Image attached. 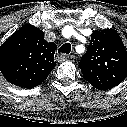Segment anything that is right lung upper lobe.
<instances>
[{
    "label": "right lung upper lobe",
    "mask_w": 127,
    "mask_h": 127,
    "mask_svg": "<svg viewBox=\"0 0 127 127\" xmlns=\"http://www.w3.org/2000/svg\"><path fill=\"white\" fill-rule=\"evenodd\" d=\"M54 43L44 39V32L25 25L0 46V71L7 81L24 88L41 84L56 66Z\"/></svg>",
    "instance_id": "cb5924a9"
}]
</instances>
